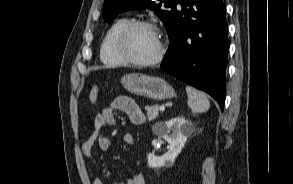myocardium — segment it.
<instances>
[{"label": "myocardium", "mask_w": 293, "mask_h": 184, "mask_svg": "<svg viewBox=\"0 0 293 184\" xmlns=\"http://www.w3.org/2000/svg\"><path fill=\"white\" fill-rule=\"evenodd\" d=\"M137 27H145L152 30L158 38V52L149 60H136L131 58L124 50V40L130 31ZM114 50L117 56L124 62L135 66H154L160 63L166 53V43L160 29L152 22L146 20H132L125 24L117 33L114 39Z\"/></svg>", "instance_id": "obj_1"}]
</instances>
